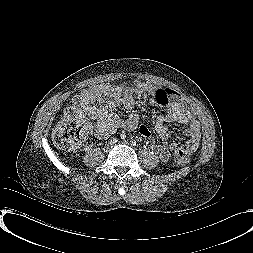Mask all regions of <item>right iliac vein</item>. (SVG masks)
I'll return each instance as SVG.
<instances>
[{"label": "right iliac vein", "instance_id": "1", "mask_svg": "<svg viewBox=\"0 0 253 253\" xmlns=\"http://www.w3.org/2000/svg\"><path fill=\"white\" fill-rule=\"evenodd\" d=\"M109 150V147H106L105 151H108Z\"/></svg>", "mask_w": 253, "mask_h": 253}]
</instances>
